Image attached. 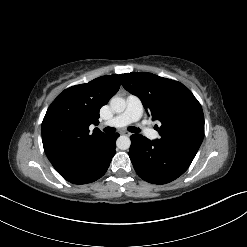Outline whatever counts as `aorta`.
<instances>
[{
  "mask_svg": "<svg viewBox=\"0 0 247 247\" xmlns=\"http://www.w3.org/2000/svg\"><path fill=\"white\" fill-rule=\"evenodd\" d=\"M110 106L116 113H121L126 108V102L123 98L114 96L110 100ZM117 147L121 150H127L130 148L131 140L128 136L122 135L117 139Z\"/></svg>",
  "mask_w": 247,
  "mask_h": 247,
  "instance_id": "1",
  "label": "aorta"
}]
</instances>
